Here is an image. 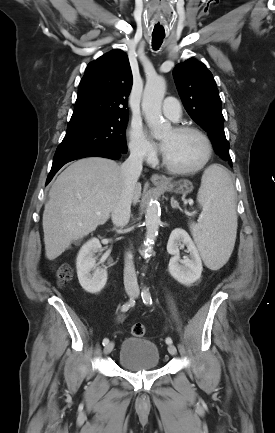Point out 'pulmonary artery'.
I'll return each instance as SVG.
<instances>
[{"instance_id": "e3ab8cb5", "label": "pulmonary artery", "mask_w": 275, "mask_h": 433, "mask_svg": "<svg viewBox=\"0 0 275 433\" xmlns=\"http://www.w3.org/2000/svg\"><path fill=\"white\" fill-rule=\"evenodd\" d=\"M162 110L165 116L172 121H177L181 117L180 103L172 97H168L164 100Z\"/></svg>"}]
</instances>
